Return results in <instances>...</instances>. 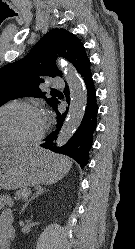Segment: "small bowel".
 <instances>
[{
	"instance_id": "small-bowel-1",
	"label": "small bowel",
	"mask_w": 135,
	"mask_h": 249,
	"mask_svg": "<svg viewBox=\"0 0 135 249\" xmlns=\"http://www.w3.org/2000/svg\"><path fill=\"white\" fill-rule=\"evenodd\" d=\"M3 201L0 200V206ZM13 217L9 210H4L0 214V249H8L9 240L14 237Z\"/></svg>"
}]
</instances>
